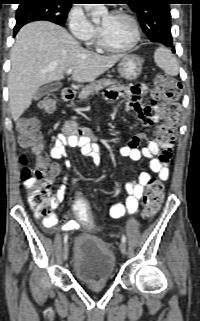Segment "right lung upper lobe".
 I'll return each instance as SVG.
<instances>
[{"instance_id":"right-lung-upper-lobe-1","label":"right lung upper lobe","mask_w":200,"mask_h":321,"mask_svg":"<svg viewBox=\"0 0 200 321\" xmlns=\"http://www.w3.org/2000/svg\"><path fill=\"white\" fill-rule=\"evenodd\" d=\"M19 1H25V0H19ZM61 1L72 3V2L75 1V0H61Z\"/></svg>"}]
</instances>
